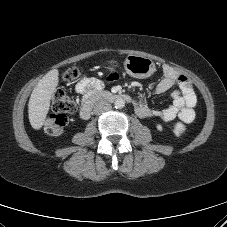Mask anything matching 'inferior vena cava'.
I'll list each match as a JSON object with an SVG mask.
<instances>
[{
	"label": "inferior vena cava",
	"instance_id": "inferior-vena-cava-1",
	"mask_svg": "<svg viewBox=\"0 0 227 227\" xmlns=\"http://www.w3.org/2000/svg\"><path fill=\"white\" fill-rule=\"evenodd\" d=\"M111 108H112V106L110 103H108L106 101H98L94 105L93 112L96 115H100V114L110 111Z\"/></svg>",
	"mask_w": 227,
	"mask_h": 227
}]
</instances>
